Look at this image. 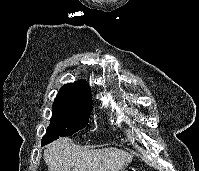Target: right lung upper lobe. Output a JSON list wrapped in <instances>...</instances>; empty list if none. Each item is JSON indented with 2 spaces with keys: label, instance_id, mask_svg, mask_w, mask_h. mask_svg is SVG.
<instances>
[{
  "label": "right lung upper lobe",
  "instance_id": "cb5924a9",
  "mask_svg": "<svg viewBox=\"0 0 199 171\" xmlns=\"http://www.w3.org/2000/svg\"><path fill=\"white\" fill-rule=\"evenodd\" d=\"M56 100L70 103L92 102L90 86L81 80L68 83L60 89Z\"/></svg>",
  "mask_w": 199,
  "mask_h": 171
}]
</instances>
